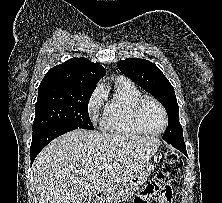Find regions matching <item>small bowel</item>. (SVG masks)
Returning a JSON list of instances; mask_svg holds the SVG:
<instances>
[{
    "instance_id": "small-bowel-1",
    "label": "small bowel",
    "mask_w": 222,
    "mask_h": 203,
    "mask_svg": "<svg viewBox=\"0 0 222 203\" xmlns=\"http://www.w3.org/2000/svg\"><path fill=\"white\" fill-rule=\"evenodd\" d=\"M171 188L169 187L168 188V196H167V198H166V200H165V203H169L170 202V200H171ZM135 202V201H134Z\"/></svg>"
}]
</instances>
